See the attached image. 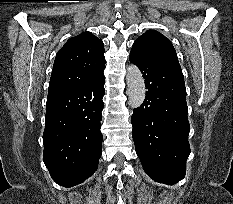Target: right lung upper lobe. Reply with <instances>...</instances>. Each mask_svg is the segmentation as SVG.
Listing matches in <instances>:
<instances>
[{"instance_id":"cb5924a9","label":"right lung upper lobe","mask_w":233,"mask_h":204,"mask_svg":"<svg viewBox=\"0 0 233 204\" xmlns=\"http://www.w3.org/2000/svg\"><path fill=\"white\" fill-rule=\"evenodd\" d=\"M105 68L104 44L90 32L67 41L58 51L48 97L85 85Z\"/></svg>"}]
</instances>
